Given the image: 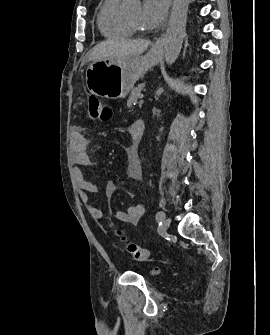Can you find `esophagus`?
I'll return each mask as SVG.
<instances>
[{
  "mask_svg": "<svg viewBox=\"0 0 270 335\" xmlns=\"http://www.w3.org/2000/svg\"><path fill=\"white\" fill-rule=\"evenodd\" d=\"M168 1L171 2V0H168ZM164 43H165V38H164V34H162L160 35V37L156 38L154 45H153V49L154 50L162 49Z\"/></svg>",
  "mask_w": 270,
  "mask_h": 335,
  "instance_id": "esophagus-1",
  "label": "esophagus"
}]
</instances>
